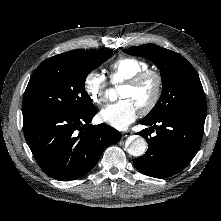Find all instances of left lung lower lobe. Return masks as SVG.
Returning <instances> with one entry per match:
<instances>
[{"mask_svg": "<svg viewBox=\"0 0 221 221\" xmlns=\"http://www.w3.org/2000/svg\"><path fill=\"white\" fill-rule=\"evenodd\" d=\"M205 117L171 114L144 118L143 125L152 126L139 134L148 143L146 153L133 160L141 173L166 178L183 170L196 155L202 140ZM156 135L151 136L150 132Z\"/></svg>", "mask_w": 221, "mask_h": 221, "instance_id": "0a47b994", "label": "left lung lower lobe"}]
</instances>
